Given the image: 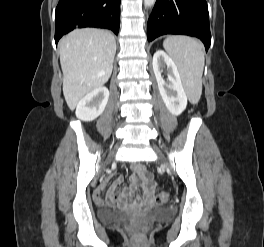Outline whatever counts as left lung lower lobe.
<instances>
[{
  "mask_svg": "<svg viewBox=\"0 0 264 247\" xmlns=\"http://www.w3.org/2000/svg\"><path fill=\"white\" fill-rule=\"evenodd\" d=\"M165 34L199 38L206 50L211 43L208 6L205 0H157L147 24V39Z\"/></svg>",
  "mask_w": 264,
  "mask_h": 247,
  "instance_id": "1",
  "label": "left lung lower lobe"
}]
</instances>
